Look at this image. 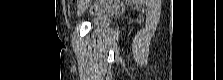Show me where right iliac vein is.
<instances>
[{
  "label": "right iliac vein",
  "mask_w": 223,
  "mask_h": 80,
  "mask_svg": "<svg viewBox=\"0 0 223 80\" xmlns=\"http://www.w3.org/2000/svg\"><path fill=\"white\" fill-rule=\"evenodd\" d=\"M88 6H89V3H88V2H86V3H82V4L79 6V9H78L77 14H78V15L83 14V13L85 12V10L88 8Z\"/></svg>",
  "instance_id": "obj_1"
}]
</instances>
